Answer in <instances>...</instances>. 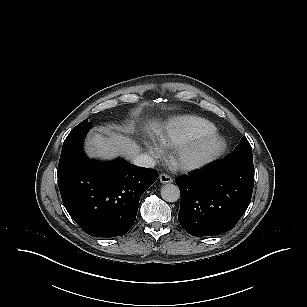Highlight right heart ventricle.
Listing matches in <instances>:
<instances>
[{"label": "right heart ventricle", "instance_id": "1", "mask_svg": "<svg viewBox=\"0 0 307 307\" xmlns=\"http://www.w3.org/2000/svg\"><path fill=\"white\" fill-rule=\"evenodd\" d=\"M213 132H216V126L208 120L192 115H178L158 127L151 138L162 147L172 148Z\"/></svg>", "mask_w": 307, "mask_h": 307}]
</instances>
